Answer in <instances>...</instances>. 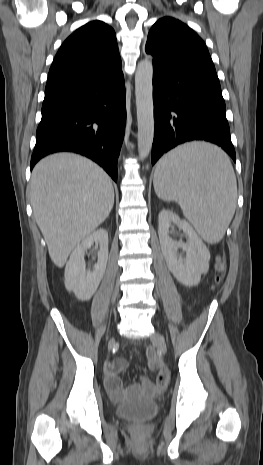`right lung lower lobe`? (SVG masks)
<instances>
[{"instance_id":"obj_1","label":"right lung lower lobe","mask_w":263,"mask_h":465,"mask_svg":"<svg viewBox=\"0 0 263 465\" xmlns=\"http://www.w3.org/2000/svg\"><path fill=\"white\" fill-rule=\"evenodd\" d=\"M125 121L123 73L45 93L31 170L48 154L70 151L91 158L117 181Z\"/></svg>"}]
</instances>
